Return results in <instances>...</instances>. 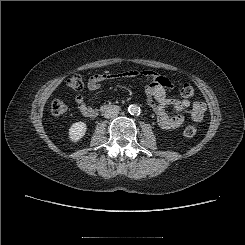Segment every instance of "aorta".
<instances>
[{
    "mask_svg": "<svg viewBox=\"0 0 245 245\" xmlns=\"http://www.w3.org/2000/svg\"><path fill=\"white\" fill-rule=\"evenodd\" d=\"M128 112L131 114V115H138L140 113V107L137 105V104H131L129 107H128Z\"/></svg>",
    "mask_w": 245,
    "mask_h": 245,
    "instance_id": "762f6f07",
    "label": "aorta"
}]
</instances>
